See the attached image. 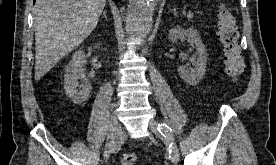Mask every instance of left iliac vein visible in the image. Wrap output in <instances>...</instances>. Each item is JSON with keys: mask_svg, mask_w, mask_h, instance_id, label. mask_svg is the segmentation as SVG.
Masks as SVG:
<instances>
[{"mask_svg": "<svg viewBox=\"0 0 276 165\" xmlns=\"http://www.w3.org/2000/svg\"><path fill=\"white\" fill-rule=\"evenodd\" d=\"M149 129L156 135H160L158 131V124L157 122L152 119L149 121ZM164 143L169 148V153L171 157V161L176 164L179 161V150L176 145L175 139L173 137V134L171 133L168 137H162Z\"/></svg>", "mask_w": 276, "mask_h": 165, "instance_id": "1", "label": "left iliac vein"}]
</instances>
